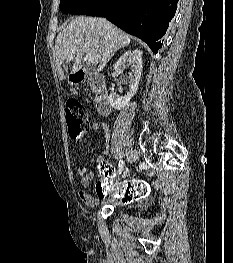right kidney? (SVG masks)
<instances>
[{
    "label": "right kidney",
    "instance_id": "ca27d5eb",
    "mask_svg": "<svg viewBox=\"0 0 233 263\" xmlns=\"http://www.w3.org/2000/svg\"><path fill=\"white\" fill-rule=\"evenodd\" d=\"M129 68L131 71L128 75V93L127 95L120 96L116 93L109 95V102L111 106L116 110H121L129 105L130 100L136 94L138 85L141 78L143 63H142V52L138 49L126 51L116 62L115 71L123 72Z\"/></svg>",
    "mask_w": 233,
    "mask_h": 263
}]
</instances>
